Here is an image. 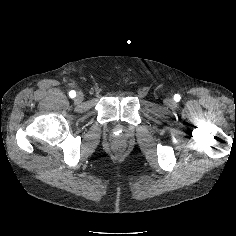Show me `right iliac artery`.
Here are the masks:
<instances>
[{
  "label": "right iliac artery",
  "instance_id": "1",
  "mask_svg": "<svg viewBox=\"0 0 236 236\" xmlns=\"http://www.w3.org/2000/svg\"><path fill=\"white\" fill-rule=\"evenodd\" d=\"M69 96H70L71 98H74V97L76 96V92H75L74 90L70 91V92H69Z\"/></svg>",
  "mask_w": 236,
  "mask_h": 236
}]
</instances>
